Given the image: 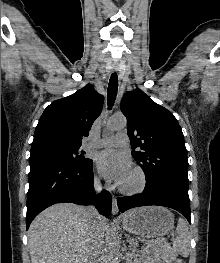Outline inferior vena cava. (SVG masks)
Instances as JSON below:
<instances>
[{"instance_id": "602c4592", "label": "inferior vena cava", "mask_w": 220, "mask_h": 263, "mask_svg": "<svg viewBox=\"0 0 220 263\" xmlns=\"http://www.w3.org/2000/svg\"><path fill=\"white\" fill-rule=\"evenodd\" d=\"M101 190H102V186L100 180H95L94 191L96 192V194H98L100 193ZM86 209L92 220V226L90 228L91 235H90V246H89L87 263H97V257L101 251L104 242L103 241L104 233L95 223L97 217L99 216L97 210L93 206H88Z\"/></svg>"}]
</instances>
